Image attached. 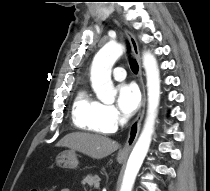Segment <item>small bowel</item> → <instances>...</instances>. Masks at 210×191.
Segmentation results:
<instances>
[{"label": "small bowel", "mask_w": 210, "mask_h": 191, "mask_svg": "<svg viewBox=\"0 0 210 191\" xmlns=\"http://www.w3.org/2000/svg\"><path fill=\"white\" fill-rule=\"evenodd\" d=\"M60 191H70L69 189L65 188V189H62Z\"/></svg>", "instance_id": "obj_1"}]
</instances>
